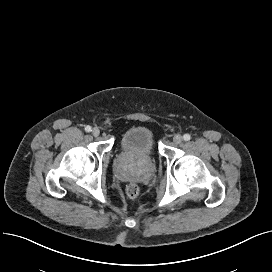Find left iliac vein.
Listing matches in <instances>:
<instances>
[{"label":"left iliac vein","mask_w":272,"mask_h":272,"mask_svg":"<svg viewBox=\"0 0 272 272\" xmlns=\"http://www.w3.org/2000/svg\"><path fill=\"white\" fill-rule=\"evenodd\" d=\"M182 140H183V137H182L181 135H179V134H177V135H175V136L173 137V141H174V143H176V144H180V143L182 142Z\"/></svg>","instance_id":"obj_1"}]
</instances>
